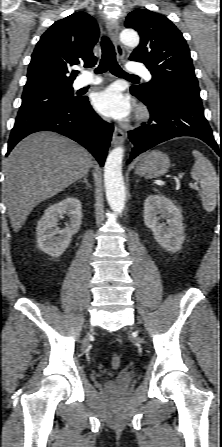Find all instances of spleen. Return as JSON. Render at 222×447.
<instances>
[{
    "label": "spleen",
    "instance_id": "1",
    "mask_svg": "<svg viewBox=\"0 0 222 447\" xmlns=\"http://www.w3.org/2000/svg\"><path fill=\"white\" fill-rule=\"evenodd\" d=\"M192 154L195 157V163L191 170V177L200 184V197L203 208L211 212L217 204L219 177L209 159L197 150H193Z\"/></svg>",
    "mask_w": 222,
    "mask_h": 447
}]
</instances>
